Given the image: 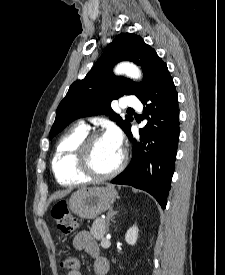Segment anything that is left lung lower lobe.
<instances>
[{
    "label": "left lung lower lobe",
    "mask_w": 225,
    "mask_h": 275,
    "mask_svg": "<svg viewBox=\"0 0 225 275\" xmlns=\"http://www.w3.org/2000/svg\"><path fill=\"white\" fill-rule=\"evenodd\" d=\"M140 101L146 105L144 116L148 123L140 130L138 140L133 138L130 128L126 132L133 143L132 159L112 183L145 190L164 209L171 188L179 140L178 95L168 69Z\"/></svg>",
    "instance_id": "obj_1"
}]
</instances>
